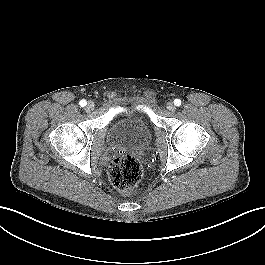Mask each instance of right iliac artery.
Wrapping results in <instances>:
<instances>
[{"mask_svg": "<svg viewBox=\"0 0 265 265\" xmlns=\"http://www.w3.org/2000/svg\"><path fill=\"white\" fill-rule=\"evenodd\" d=\"M79 104H80V106L81 107H84V106H86L87 105V102H86V100H81L80 102H79Z\"/></svg>", "mask_w": 265, "mask_h": 265, "instance_id": "right-iliac-artery-1", "label": "right iliac artery"}]
</instances>
